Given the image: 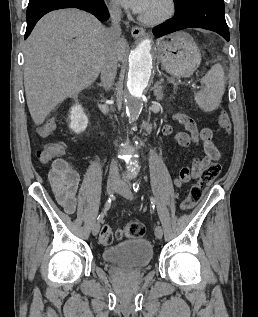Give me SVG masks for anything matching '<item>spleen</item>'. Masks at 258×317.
Segmentation results:
<instances>
[{
  "label": "spleen",
  "mask_w": 258,
  "mask_h": 317,
  "mask_svg": "<svg viewBox=\"0 0 258 317\" xmlns=\"http://www.w3.org/2000/svg\"><path fill=\"white\" fill-rule=\"evenodd\" d=\"M201 82L205 84V88L197 92L195 100L202 110L210 112L220 104L225 90L224 70L221 64H214L201 78Z\"/></svg>",
  "instance_id": "1"
}]
</instances>
